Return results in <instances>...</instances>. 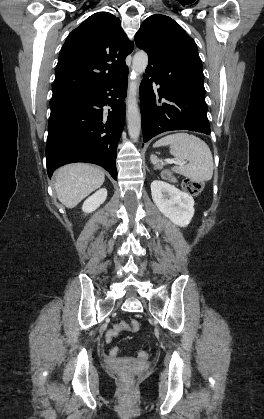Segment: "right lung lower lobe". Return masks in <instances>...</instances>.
I'll list each match as a JSON object with an SVG mask.
<instances>
[{"mask_svg":"<svg viewBox=\"0 0 264 419\" xmlns=\"http://www.w3.org/2000/svg\"><path fill=\"white\" fill-rule=\"evenodd\" d=\"M128 70L112 82L84 92L52 97L46 163L49 177L72 162L94 163L115 179L116 149L125 121ZM110 106L106 110L104 106Z\"/></svg>","mask_w":264,"mask_h":419,"instance_id":"1","label":"right lung lower lobe"}]
</instances>
